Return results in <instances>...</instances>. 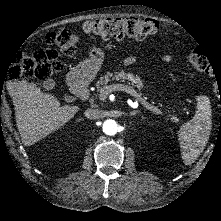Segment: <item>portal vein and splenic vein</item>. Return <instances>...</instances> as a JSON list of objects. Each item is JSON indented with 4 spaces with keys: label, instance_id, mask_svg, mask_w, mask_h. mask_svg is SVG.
<instances>
[{
    "label": "portal vein and splenic vein",
    "instance_id": "18ae733b",
    "mask_svg": "<svg viewBox=\"0 0 221 221\" xmlns=\"http://www.w3.org/2000/svg\"><path fill=\"white\" fill-rule=\"evenodd\" d=\"M116 89L118 91H122L124 93L126 92L129 95H132V97L138 103H141L147 110L153 112L155 115L162 116L164 114L162 109L156 107L154 104L149 103L146 99H143L142 95L133 89L129 84L107 85L105 89L101 91V96L106 98L108 96V92L115 91Z\"/></svg>",
    "mask_w": 221,
    "mask_h": 221
}]
</instances>
